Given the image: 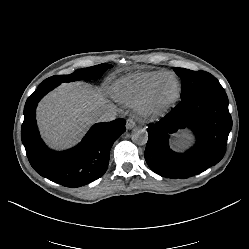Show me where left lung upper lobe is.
Wrapping results in <instances>:
<instances>
[{"label":"left lung upper lobe","instance_id":"5c2ea615","mask_svg":"<svg viewBox=\"0 0 249 249\" xmlns=\"http://www.w3.org/2000/svg\"><path fill=\"white\" fill-rule=\"evenodd\" d=\"M174 71L182 79V99L206 90L223 88L219 81L208 72L184 68H174Z\"/></svg>","mask_w":249,"mask_h":249}]
</instances>
